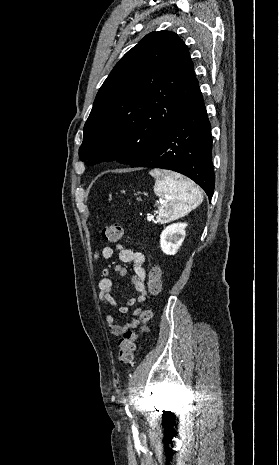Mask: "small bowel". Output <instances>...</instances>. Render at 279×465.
Returning a JSON list of instances; mask_svg holds the SVG:
<instances>
[{"instance_id": "c3829d8e", "label": "small bowel", "mask_w": 279, "mask_h": 465, "mask_svg": "<svg viewBox=\"0 0 279 465\" xmlns=\"http://www.w3.org/2000/svg\"><path fill=\"white\" fill-rule=\"evenodd\" d=\"M116 249L119 251V258L125 263H131L133 267V277H132V286L135 292L137 293L136 297L130 298L127 303L123 306H119L112 296V287L113 280L110 276V270L108 268L102 271V277L98 283L99 289V299L106 305L112 307H118L121 313H127L129 310L134 307L137 303L142 302L146 299V290H145V281H146V271L144 268L145 256L139 251H135L131 248L124 247L121 244L116 245ZM115 248L112 246H104L100 250H97L93 254V262H96L100 257L105 260H110L114 257ZM115 272L120 276H125L127 270L123 266H116ZM142 310L137 308L133 311L135 317L140 315ZM105 324L109 332L114 336H121L129 330H133L140 325V320L138 318H132L124 324H117L114 316L106 315Z\"/></svg>"}]
</instances>
